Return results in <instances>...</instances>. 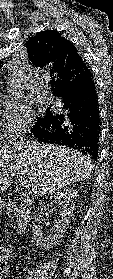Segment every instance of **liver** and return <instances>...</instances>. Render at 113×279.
Listing matches in <instances>:
<instances>
[{"label":"liver","instance_id":"liver-1","mask_svg":"<svg viewBox=\"0 0 113 279\" xmlns=\"http://www.w3.org/2000/svg\"><path fill=\"white\" fill-rule=\"evenodd\" d=\"M93 169L91 157L78 150L36 141H12L0 149V192L11 186V172L26 179L35 195L43 196L87 180Z\"/></svg>","mask_w":113,"mask_h":279}]
</instances>
